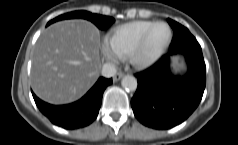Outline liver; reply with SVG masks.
Wrapping results in <instances>:
<instances>
[{"label": "liver", "instance_id": "6515ba94", "mask_svg": "<svg viewBox=\"0 0 238 145\" xmlns=\"http://www.w3.org/2000/svg\"><path fill=\"white\" fill-rule=\"evenodd\" d=\"M99 30L82 19L57 22L40 35L33 53L31 86L50 104L78 100L101 68Z\"/></svg>", "mask_w": 238, "mask_h": 145}]
</instances>
